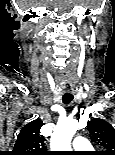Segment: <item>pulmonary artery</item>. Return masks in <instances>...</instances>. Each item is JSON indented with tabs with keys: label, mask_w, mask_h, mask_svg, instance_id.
Segmentation results:
<instances>
[{
	"label": "pulmonary artery",
	"mask_w": 115,
	"mask_h": 155,
	"mask_svg": "<svg viewBox=\"0 0 115 155\" xmlns=\"http://www.w3.org/2000/svg\"><path fill=\"white\" fill-rule=\"evenodd\" d=\"M73 147L77 151H85L91 149V144L84 137L78 136L73 140Z\"/></svg>",
	"instance_id": "e3ab8cb5"
}]
</instances>
